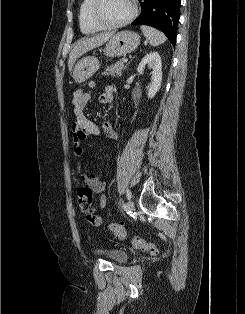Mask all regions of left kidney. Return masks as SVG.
Returning <instances> with one entry per match:
<instances>
[{
	"instance_id": "obj_1",
	"label": "left kidney",
	"mask_w": 245,
	"mask_h": 314,
	"mask_svg": "<svg viewBox=\"0 0 245 314\" xmlns=\"http://www.w3.org/2000/svg\"><path fill=\"white\" fill-rule=\"evenodd\" d=\"M152 69L151 83L148 88V98H153L159 91L162 82V62L158 52H150L145 55L137 67L139 74L143 73L145 66Z\"/></svg>"
}]
</instances>
